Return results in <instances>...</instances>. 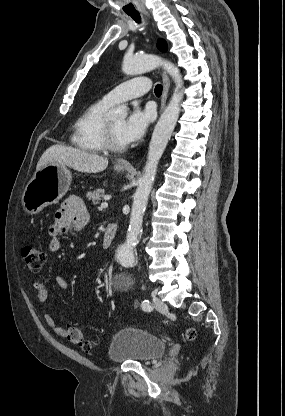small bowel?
<instances>
[{
  "label": "small bowel",
  "instance_id": "1",
  "mask_svg": "<svg viewBox=\"0 0 285 416\" xmlns=\"http://www.w3.org/2000/svg\"><path fill=\"white\" fill-rule=\"evenodd\" d=\"M88 219L89 215L83 200L76 196L68 198L57 211L55 221L48 229L50 236L48 244L49 251L52 253L59 252L62 248L60 236L72 231L82 230L86 226ZM52 283L61 289L67 287V282L61 276L55 277ZM34 288L37 290V296L40 302H47L50 299L51 288L49 286L41 282H36L34 283ZM44 319L56 335L60 337L66 336V330L58 325L49 313H44Z\"/></svg>",
  "mask_w": 285,
  "mask_h": 416
}]
</instances>
